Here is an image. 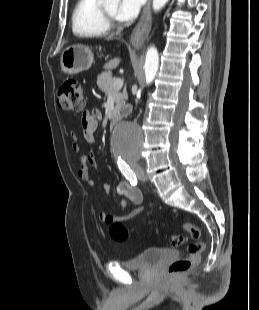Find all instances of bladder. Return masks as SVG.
Segmentation results:
<instances>
[{"mask_svg":"<svg viewBox=\"0 0 259 310\" xmlns=\"http://www.w3.org/2000/svg\"><path fill=\"white\" fill-rule=\"evenodd\" d=\"M178 253L171 249L150 248L145 249L131 260L121 261L125 269H149L159 263L177 258Z\"/></svg>","mask_w":259,"mask_h":310,"instance_id":"1","label":"bladder"}]
</instances>
